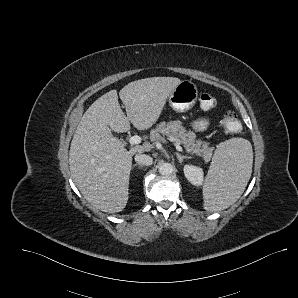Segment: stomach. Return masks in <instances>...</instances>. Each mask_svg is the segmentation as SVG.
Instances as JSON below:
<instances>
[{
	"instance_id": "1",
	"label": "stomach",
	"mask_w": 298,
	"mask_h": 298,
	"mask_svg": "<svg viewBox=\"0 0 298 298\" xmlns=\"http://www.w3.org/2000/svg\"><path fill=\"white\" fill-rule=\"evenodd\" d=\"M198 94L197 85L189 79H183L168 96V104L175 112H187L197 102Z\"/></svg>"
}]
</instances>
